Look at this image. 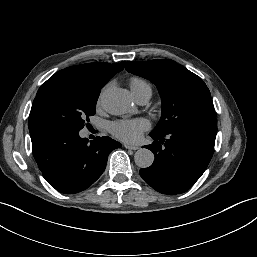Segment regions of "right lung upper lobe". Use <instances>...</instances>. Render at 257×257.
<instances>
[{"label":"right lung upper lobe","mask_w":257,"mask_h":257,"mask_svg":"<svg viewBox=\"0 0 257 257\" xmlns=\"http://www.w3.org/2000/svg\"><path fill=\"white\" fill-rule=\"evenodd\" d=\"M124 66L125 62L119 64L88 63L68 67L56 74L78 81L90 89L101 90L117 72L123 70Z\"/></svg>","instance_id":"cb5924a9"}]
</instances>
